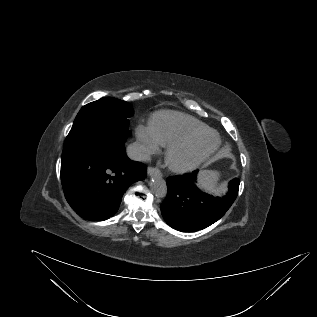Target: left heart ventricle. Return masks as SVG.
Here are the masks:
<instances>
[{
	"mask_svg": "<svg viewBox=\"0 0 317 317\" xmlns=\"http://www.w3.org/2000/svg\"><path fill=\"white\" fill-rule=\"evenodd\" d=\"M214 142V137L208 135L202 139L194 141L183 148L177 150L173 156L172 160L176 163H184L191 160L198 152L206 149Z\"/></svg>",
	"mask_w": 317,
	"mask_h": 317,
	"instance_id": "obj_1",
	"label": "left heart ventricle"
}]
</instances>
